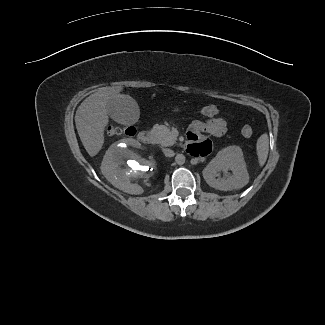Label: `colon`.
Here are the masks:
<instances>
[{
	"label": "colon",
	"instance_id": "5ec220e1",
	"mask_svg": "<svg viewBox=\"0 0 325 325\" xmlns=\"http://www.w3.org/2000/svg\"><path fill=\"white\" fill-rule=\"evenodd\" d=\"M198 113L201 116L207 118H214L221 113V110L215 105H205L198 109ZM135 132L136 131L134 127H120L111 125L107 128V134L110 136H117L122 134L132 136L135 134ZM241 133L244 137H251L253 134V129L250 125L245 124L241 128Z\"/></svg>",
	"mask_w": 325,
	"mask_h": 325
}]
</instances>
